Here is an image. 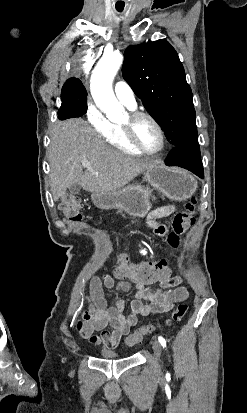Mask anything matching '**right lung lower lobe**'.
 Returning a JSON list of instances; mask_svg holds the SVG:
<instances>
[{"label":"right lung lower lobe","mask_w":247,"mask_h":413,"mask_svg":"<svg viewBox=\"0 0 247 413\" xmlns=\"http://www.w3.org/2000/svg\"><path fill=\"white\" fill-rule=\"evenodd\" d=\"M73 117H79L77 111L67 105L62 104L58 111V118L60 120H65Z\"/></svg>","instance_id":"right-lung-lower-lobe-1"}]
</instances>
